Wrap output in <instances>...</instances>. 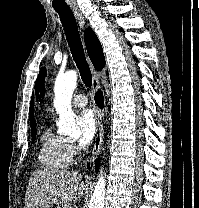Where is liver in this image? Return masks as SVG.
Returning <instances> with one entry per match:
<instances>
[{
	"mask_svg": "<svg viewBox=\"0 0 199 208\" xmlns=\"http://www.w3.org/2000/svg\"><path fill=\"white\" fill-rule=\"evenodd\" d=\"M78 172L43 169L32 172L25 195V208L39 204H63L78 201L85 190Z\"/></svg>",
	"mask_w": 199,
	"mask_h": 208,
	"instance_id": "liver-1",
	"label": "liver"
}]
</instances>
